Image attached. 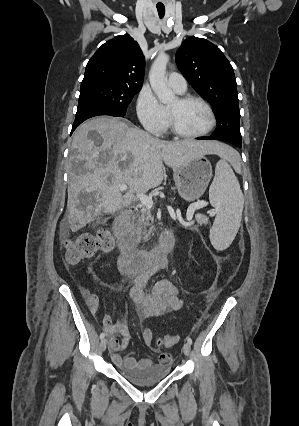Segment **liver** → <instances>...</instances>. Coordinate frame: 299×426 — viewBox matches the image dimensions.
<instances>
[{"label": "liver", "instance_id": "1", "mask_svg": "<svg viewBox=\"0 0 299 426\" xmlns=\"http://www.w3.org/2000/svg\"><path fill=\"white\" fill-rule=\"evenodd\" d=\"M89 131H97L99 144L88 137ZM231 152L215 141H162L113 117L91 119L75 131L71 144L69 226L76 232L101 213L128 207L135 194L158 187L163 180V162L175 169L205 154L228 158ZM73 165L81 166L78 174ZM120 184L129 187L124 195Z\"/></svg>", "mask_w": 299, "mask_h": 426}]
</instances>
